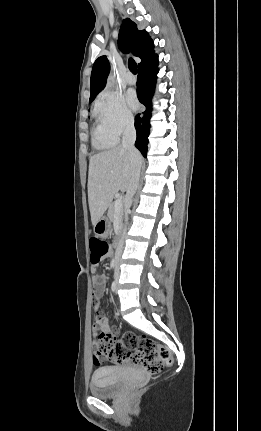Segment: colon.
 Masks as SVG:
<instances>
[{
  "label": "colon",
  "instance_id": "obj_1",
  "mask_svg": "<svg viewBox=\"0 0 261 431\" xmlns=\"http://www.w3.org/2000/svg\"><path fill=\"white\" fill-rule=\"evenodd\" d=\"M90 250L91 263L98 265L107 256L109 245L106 241L93 237L90 239ZM97 348L99 360L103 358L117 364L136 366L150 374H157L165 366L172 364L168 349L133 332H126L120 339H116L112 333H100ZM96 367H102V362H96Z\"/></svg>",
  "mask_w": 261,
  "mask_h": 431
}]
</instances>
